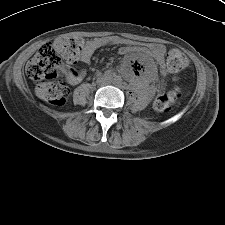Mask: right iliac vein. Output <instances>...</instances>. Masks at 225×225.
<instances>
[{
  "label": "right iliac vein",
  "mask_w": 225,
  "mask_h": 225,
  "mask_svg": "<svg viewBox=\"0 0 225 225\" xmlns=\"http://www.w3.org/2000/svg\"><path fill=\"white\" fill-rule=\"evenodd\" d=\"M98 83L99 84H104L105 83V78L103 76H101L99 79H98Z\"/></svg>",
  "instance_id": "obj_1"
}]
</instances>
